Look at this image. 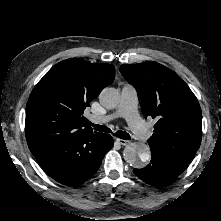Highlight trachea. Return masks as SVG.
<instances>
[{"label":"trachea","instance_id":"obj_1","mask_svg":"<svg viewBox=\"0 0 221 221\" xmlns=\"http://www.w3.org/2000/svg\"><path fill=\"white\" fill-rule=\"evenodd\" d=\"M85 123L88 124V125L93 126L96 131L105 132V133L111 132V130L108 127L104 126V125H96V124H93V123L89 122L88 120H86ZM115 134H116L117 137H119L123 140H130V138H131L130 135L127 132H124V131H121V130L117 131Z\"/></svg>","mask_w":221,"mask_h":221}]
</instances>
